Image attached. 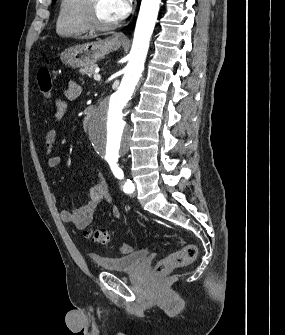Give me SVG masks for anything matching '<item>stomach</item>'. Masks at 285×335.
Returning a JSON list of instances; mask_svg holds the SVG:
<instances>
[{"label":"stomach","instance_id":"stomach-1","mask_svg":"<svg viewBox=\"0 0 285 335\" xmlns=\"http://www.w3.org/2000/svg\"><path fill=\"white\" fill-rule=\"evenodd\" d=\"M112 40L113 38H106L100 42L72 46L60 54V60L69 68H84V66L96 64L98 60H102L107 54L120 48L121 42H112Z\"/></svg>","mask_w":285,"mask_h":335}]
</instances>
